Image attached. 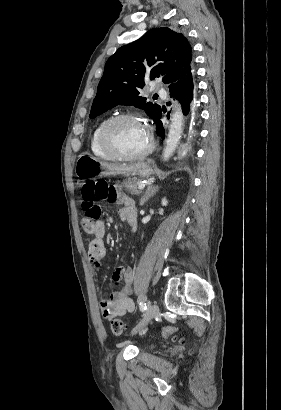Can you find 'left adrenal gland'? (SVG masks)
I'll return each instance as SVG.
<instances>
[{"label":"left adrenal gland","mask_w":281,"mask_h":410,"mask_svg":"<svg viewBox=\"0 0 281 410\" xmlns=\"http://www.w3.org/2000/svg\"><path fill=\"white\" fill-rule=\"evenodd\" d=\"M158 190L159 186L149 185L145 191V194L141 198L140 206H143L145 202H147L150 197L154 196Z\"/></svg>","instance_id":"a2214340"}]
</instances>
